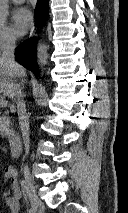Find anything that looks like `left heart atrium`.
I'll list each match as a JSON object with an SVG mask.
<instances>
[{
  "label": "left heart atrium",
  "mask_w": 128,
  "mask_h": 213,
  "mask_svg": "<svg viewBox=\"0 0 128 213\" xmlns=\"http://www.w3.org/2000/svg\"><path fill=\"white\" fill-rule=\"evenodd\" d=\"M32 25V14L25 7L16 8L12 13V26L15 33L23 36Z\"/></svg>",
  "instance_id": "39dd6f15"
}]
</instances>
